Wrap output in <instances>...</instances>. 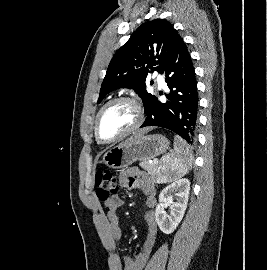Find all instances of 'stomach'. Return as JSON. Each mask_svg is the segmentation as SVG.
I'll return each instance as SVG.
<instances>
[{"instance_id":"0dacf381","label":"stomach","mask_w":267,"mask_h":270,"mask_svg":"<svg viewBox=\"0 0 267 270\" xmlns=\"http://www.w3.org/2000/svg\"><path fill=\"white\" fill-rule=\"evenodd\" d=\"M169 148L168 139L161 134H144L133 141H125L108 150L103 156V163L108 167L120 169L134 162L148 161Z\"/></svg>"}]
</instances>
